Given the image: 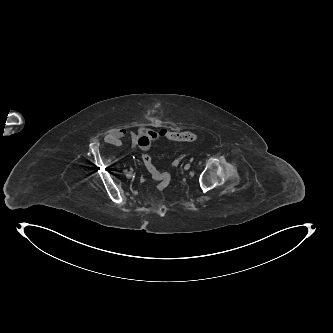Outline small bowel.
Returning a JSON list of instances; mask_svg holds the SVG:
<instances>
[{
  "instance_id": "1",
  "label": "small bowel",
  "mask_w": 333,
  "mask_h": 333,
  "mask_svg": "<svg viewBox=\"0 0 333 333\" xmlns=\"http://www.w3.org/2000/svg\"><path fill=\"white\" fill-rule=\"evenodd\" d=\"M129 136L132 148H138L142 152L148 153L154 141L162 139L160 130H155L146 126H139L136 130H127L122 127L110 130L104 140L108 144L121 145L123 139Z\"/></svg>"
}]
</instances>
